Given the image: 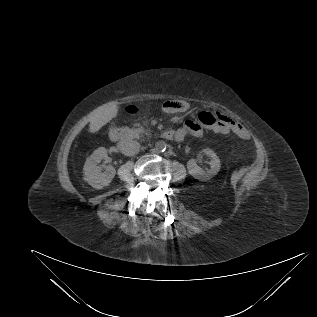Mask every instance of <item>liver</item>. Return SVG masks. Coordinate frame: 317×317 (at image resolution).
Here are the masks:
<instances>
[{"label":"liver","mask_w":317,"mask_h":317,"mask_svg":"<svg viewBox=\"0 0 317 317\" xmlns=\"http://www.w3.org/2000/svg\"><path fill=\"white\" fill-rule=\"evenodd\" d=\"M118 113V104L116 101L108 102L96 108L89 114L90 133L98 132L104 125L116 117Z\"/></svg>","instance_id":"1"}]
</instances>
